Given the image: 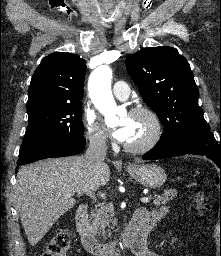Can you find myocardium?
<instances>
[{
	"mask_svg": "<svg viewBox=\"0 0 221 256\" xmlns=\"http://www.w3.org/2000/svg\"><path fill=\"white\" fill-rule=\"evenodd\" d=\"M130 115H142L147 117L151 123L152 131L145 141L139 144L126 143L124 145L125 149L132 153H144L151 150L158 144L163 135V124L160 117L153 109L146 106H138L134 108Z\"/></svg>",
	"mask_w": 221,
	"mask_h": 256,
	"instance_id": "obj_1",
	"label": "myocardium"
}]
</instances>
